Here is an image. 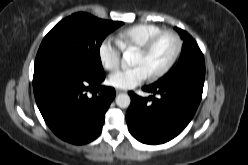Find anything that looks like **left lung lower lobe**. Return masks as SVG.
<instances>
[{"instance_id":"obj_1","label":"left lung lower lobe","mask_w":248,"mask_h":165,"mask_svg":"<svg viewBox=\"0 0 248 165\" xmlns=\"http://www.w3.org/2000/svg\"><path fill=\"white\" fill-rule=\"evenodd\" d=\"M204 77L145 86L143 90L153 94L148 98L129 92L131 104L126 120L131 135L142 143L156 145L180 134L201 101Z\"/></svg>"}]
</instances>
